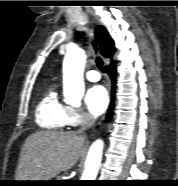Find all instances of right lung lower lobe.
<instances>
[{"instance_id":"1","label":"right lung lower lobe","mask_w":178,"mask_h":186,"mask_svg":"<svg viewBox=\"0 0 178 186\" xmlns=\"http://www.w3.org/2000/svg\"><path fill=\"white\" fill-rule=\"evenodd\" d=\"M106 72L110 76L113 84H115V82H116V66L115 65L107 66ZM113 108H114V100L111 101L109 109H108V113H107L108 120H110L112 117Z\"/></svg>"}]
</instances>
